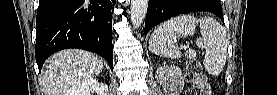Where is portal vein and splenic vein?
I'll use <instances>...</instances> for the list:
<instances>
[{
	"label": "portal vein and splenic vein",
	"instance_id": "obj_1",
	"mask_svg": "<svg viewBox=\"0 0 277 95\" xmlns=\"http://www.w3.org/2000/svg\"><path fill=\"white\" fill-rule=\"evenodd\" d=\"M182 47H183L184 49H187V48H188V46H187V45H183Z\"/></svg>",
	"mask_w": 277,
	"mask_h": 95
}]
</instances>
